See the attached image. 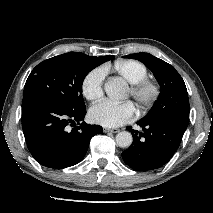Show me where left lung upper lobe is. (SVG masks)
Here are the masks:
<instances>
[{
  "mask_svg": "<svg viewBox=\"0 0 213 213\" xmlns=\"http://www.w3.org/2000/svg\"><path fill=\"white\" fill-rule=\"evenodd\" d=\"M144 63L161 86V95L152 112L143 121L172 118L189 123V99L185 83L176 69L167 62L149 54L124 56Z\"/></svg>",
  "mask_w": 213,
  "mask_h": 213,
  "instance_id": "obj_1",
  "label": "left lung upper lobe"
}]
</instances>
